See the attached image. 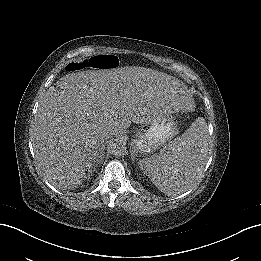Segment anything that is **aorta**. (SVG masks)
<instances>
[{
	"instance_id": "1",
	"label": "aorta",
	"mask_w": 261,
	"mask_h": 261,
	"mask_svg": "<svg viewBox=\"0 0 261 261\" xmlns=\"http://www.w3.org/2000/svg\"><path fill=\"white\" fill-rule=\"evenodd\" d=\"M116 148V147H115ZM123 148V145H122V140L119 141L118 145H117V148L114 150L116 153L119 152V150L121 151ZM119 149V150H118Z\"/></svg>"
}]
</instances>
